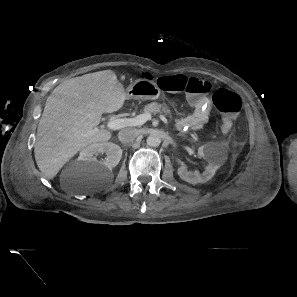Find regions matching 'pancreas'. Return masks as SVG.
<instances>
[{
  "label": "pancreas",
  "instance_id": "cf45deb5",
  "mask_svg": "<svg viewBox=\"0 0 297 297\" xmlns=\"http://www.w3.org/2000/svg\"><path fill=\"white\" fill-rule=\"evenodd\" d=\"M144 112L147 114H157V113H164L165 115H171V110L167 105L159 104L157 102H152L145 106Z\"/></svg>",
  "mask_w": 297,
  "mask_h": 297
}]
</instances>
